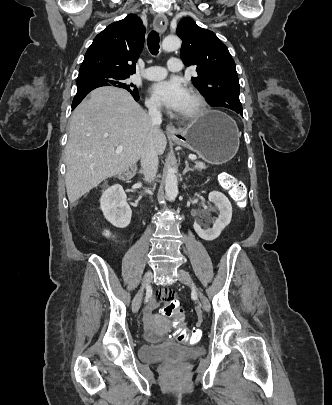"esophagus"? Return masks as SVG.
Instances as JSON below:
<instances>
[{
  "instance_id": "1",
  "label": "esophagus",
  "mask_w": 332,
  "mask_h": 405,
  "mask_svg": "<svg viewBox=\"0 0 332 405\" xmlns=\"http://www.w3.org/2000/svg\"><path fill=\"white\" fill-rule=\"evenodd\" d=\"M168 26V19L164 14H158L154 19V28L160 33L165 32ZM166 133L169 136H179L181 133L172 125L166 126Z\"/></svg>"
}]
</instances>
